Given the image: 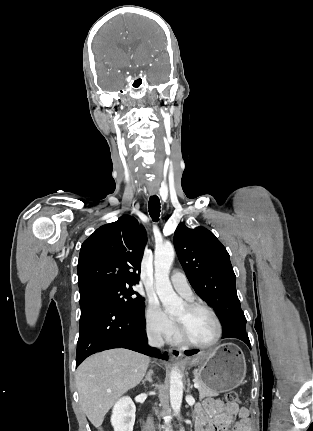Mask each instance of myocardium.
Segmentation results:
<instances>
[{
	"label": "myocardium",
	"instance_id": "f54148a6",
	"mask_svg": "<svg viewBox=\"0 0 313 431\" xmlns=\"http://www.w3.org/2000/svg\"><path fill=\"white\" fill-rule=\"evenodd\" d=\"M185 307L189 313L194 312V311L199 310V309H203V310H206L207 312H209L210 315L213 317L215 323H216L217 333H216L214 340L211 341L210 343H207V344L195 343L192 340H190L188 338V336L186 335L183 323L180 320L175 319L176 334H177L179 341L181 343H183L184 345H187V346L192 347V348H198V349H209V348L216 346L219 343V341L221 340L222 335H223V326H222L221 320L219 319L217 313L210 306L203 304V303H198V302H188L185 304Z\"/></svg>",
	"mask_w": 313,
	"mask_h": 431
}]
</instances>
